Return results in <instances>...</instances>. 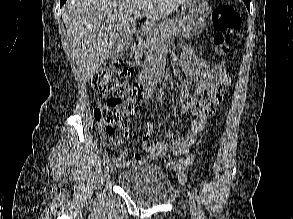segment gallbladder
I'll list each match as a JSON object with an SVG mask.
<instances>
[{
  "instance_id": "gallbladder-1",
  "label": "gallbladder",
  "mask_w": 293,
  "mask_h": 219,
  "mask_svg": "<svg viewBox=\"0 0 293 219\" xmlns=\"http://www.w3.org/2000/svg\"><path fill=\"white\" fill-rule=\"evenodd\" d=\"M133 38L129 35H120L116 38V41L110 51L108 60L111 62L117 61L125 54Z\"/></svg>"
}]
</instances>
